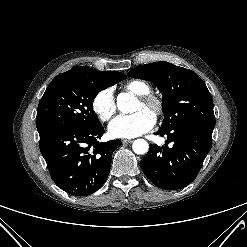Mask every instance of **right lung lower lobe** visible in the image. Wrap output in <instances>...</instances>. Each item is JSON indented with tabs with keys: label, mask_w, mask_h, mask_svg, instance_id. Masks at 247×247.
<instances>
[{
	"label": "right lung lower lobe",
	"mask_w": 247,
	"mask_h": 247,
	"mask_svg": "<svg viewBox=\"0 0 247 247\" xmlns=\"http://www.w3.org/2000/svg\"><path fill=\"white\" fill-rule=\"evenodd\" d=\"M101 124L91 128H61L40 135V151L54 182L64 191L85 196L105 183L120 140L99 143Z\"/></svg>",
	"instance_id": "1"
}]
</instances>
